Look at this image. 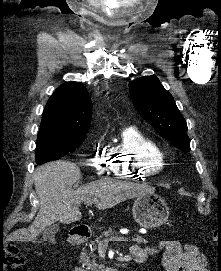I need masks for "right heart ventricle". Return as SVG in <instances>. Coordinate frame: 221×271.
Returning a JSON list of instances; mask_svg holds the SVG:
<instances>
[{"label":"right heart ventricle","instance_id":"obj_1","mask_svg":"<svg viewBox=\"0 0 221 271\" xmlns=\"http://www.w3.org/2000/svg\"><path fill=\"white\" fill-rule=\"evenodd\" d=\"M119 147L127 154H117L108 158L112 176L119 179H151L163 171L162 161L165 149L155 138L140 134L136 138H120ZM131 155V156H130Z\"/></svg>","mask_w":221,"mask_h":271}]
</instances>
